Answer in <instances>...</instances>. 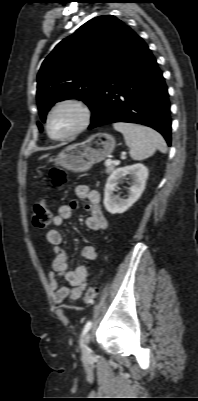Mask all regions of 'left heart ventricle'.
Wrapping results in <instances>:
<instances>
[{
    "label": "left heart ventricle",
    "instance_id": "b2bd125f",
    "mask_svg": "<svg viewBox=\"0 0 198 401\" xmlns=\"http://www.w3.org/2000/svg\"><path fill=\"white\" fill-rule=\"evenodd\" d=\"M80 122L79 112L72 107H62L50 119V133L60 137L73 131Z\"/></svg>",
    "mask_w": 198,
    "mask_h": 401
}]
</instances>
